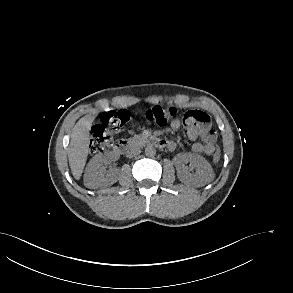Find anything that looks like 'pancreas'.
<instances>
[{"mask_svg": "<svg viewBox=\"0 0 293 293\" xmlns=\"http://www.w3.org/2000/svg\"><path fill=\"white\" fill-rule=\"evenodd\" d=\"M129 142L135 145H142L148 142V138L144 134L134 135V137L129 139Z\"/></svg>", "mask_w": 293, "mask_h": 293, "instance_id": "obj_1", "label": "pancreas"}]
</instances>
